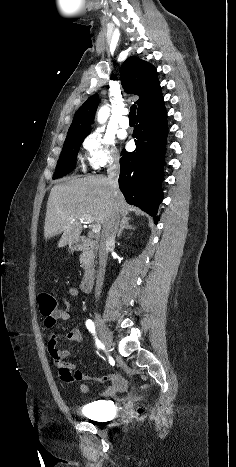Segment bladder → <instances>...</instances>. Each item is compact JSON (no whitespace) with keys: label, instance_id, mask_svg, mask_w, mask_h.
<instances>
[{"label":"bladder","instance_id":"1","mask_svg":"<svg viewBox=\"0 0 236 467\" xmlns=\"http://www.w3.org/2000/svg\"><path fill=\"white\" fill-rule=\"evenodd\" d=\"M114 409V406H110L109 400H97L87 404L82 413L92 420H100L104 419Z\"/></svg>","mask_w":236,"mask_h":467}]
</instances>
